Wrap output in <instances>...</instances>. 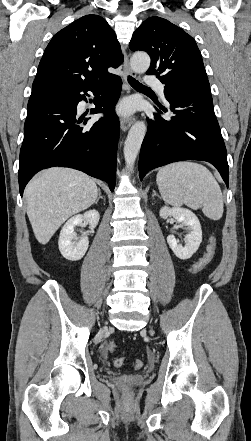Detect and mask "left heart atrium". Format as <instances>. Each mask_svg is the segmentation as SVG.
Instances as JSON below:
<instances>
[{
    "mask_svg": "<svg viewBox=\"0 0 251 441\" xmlns=\"http://www.w3.org/2000/svg\"><path fill=\"white\" fill-rule=\"evenodd\" d=\"M131 111V105L129 103H124L119 107V112L122 114H128Z\"/></svg>",
    "mask_w": 251,
    "mask_h": 441,
    "instance_id": "1",
    "label": "left heart atrium"
}]
</instances>
